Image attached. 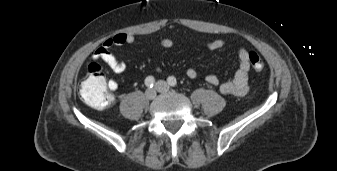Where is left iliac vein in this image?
I'll return each mask as SVG.
<instances>
[{"instance_id": "obj_1", "label": "left iliac vein", "mask_w": 337, "mask_h": 171, "mask_svg": "<svg viewBox=\"0 0 337 171\" xmlns=\"http://www.w3.org/2000/svg\"><path fill=\"white\" fill-rule=\"evenodd\" d=\"M156 90L160 93H165L169 91V85L162 80H159L155 84Z\"/></svg>"}]
</instances>
